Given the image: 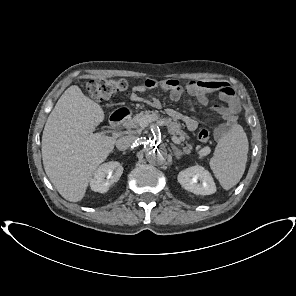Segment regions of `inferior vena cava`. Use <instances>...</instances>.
<instances>
[{"mask_svg": "<svg viewBox=\"0 0 296 296\" xmlns=\"http://www.w3.org/2000/svg\"><path fill=\"white\" fill-rule=\"evenodd\" d=\"M135 142V138L133 136H124L119 138L116 141V147L118 150L125 151L129 149Z\"/></svg>", "mask_w": 296, "mask_h": 296, "instance_id": "obj_1", "label": "inferior vena cava"}]
</instances>
